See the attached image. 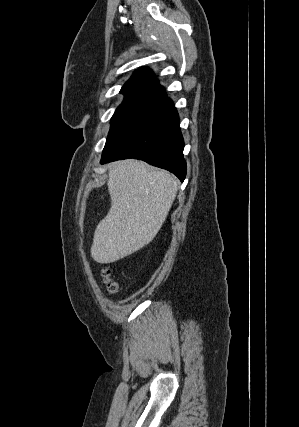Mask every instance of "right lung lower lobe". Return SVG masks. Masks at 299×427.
Instances as JSON below:
<instances>
[{
  "label": "right lung lower lobe",
  "mask_w": 299,
  "mask_h": 427,
  "mask_svg": "<svg viewBox=\"0 0 299 427\" xmlns=\"http://www.w3.org/2000/svg\"><path fill=\"white\" fill-rule=\"evenodd\" d=\"M184 141L179 117L171 99L158 101L138 123L109 150L101 164L135 158L173 172L181 181L186 176Z\"/></svg>",
  "instance_id": "98d812e1"
}]
</instances>
